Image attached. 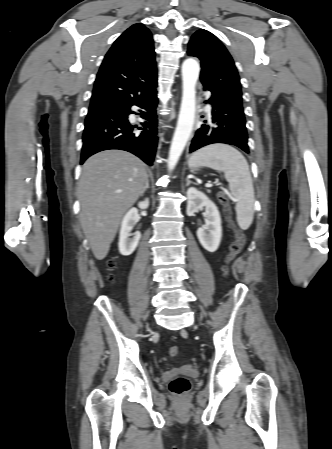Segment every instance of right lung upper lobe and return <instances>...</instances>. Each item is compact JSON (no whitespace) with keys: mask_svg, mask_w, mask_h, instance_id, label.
<instances>
[{"mask_svg":"<svg viewBox=\"0 0 332 449\" xmlns=\"http://www.w3.org/2000/svg\"><path fill=\"white\" fill-rule=\"evenodd\" d=\"M157 87L151 32L141 23L113 43L97 74L88 114L146 97Z\"/></svg>","mask_w":332,"mask_h":449,"instance_id":"1","label":"right lung upper lobe"}]
</instances>
